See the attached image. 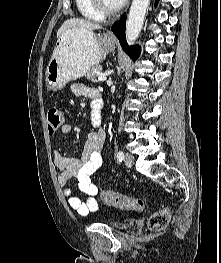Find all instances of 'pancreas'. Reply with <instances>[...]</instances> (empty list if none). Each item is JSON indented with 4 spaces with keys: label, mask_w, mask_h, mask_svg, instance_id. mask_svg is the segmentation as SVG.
<instances>
[{
    "label": "pancreas",
    "mask_w": 221,
    "mask_h": 263,
    "mask_svg": "<svg viewBox=\"0 0 221 263\" xmlns=\"http://www.w3.org/2000/svg\"><path fill=\"white\" fill-rule=\"evenodd\" d=\"M102 74V67L99 65L93 66L85 75V77L92 82H99L97 79Z\"/></svg>",
    "instance_id": "1"
}]
</instances>
